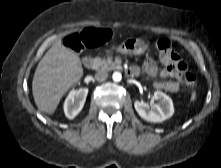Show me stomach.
Returning <instances> with one entry per match:
<instances>
[{
    "instance_id": "0dacf381",
    "label": "stomach",
    "mask_w": 221,
    "mask_h": 168,
    "mask_svg": "<svg viewBox=\"0 0 221 168\" xmlns=\"http://www.w3.org/2000/svg\"><path fill=\"white\" fill-rule=\"evenodd\" d=\"M148 48L145 41L139 38H128L115 48L116 52L122 54L141 55Z\"/></svg>"
}]
</instances>
